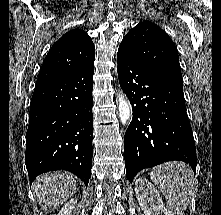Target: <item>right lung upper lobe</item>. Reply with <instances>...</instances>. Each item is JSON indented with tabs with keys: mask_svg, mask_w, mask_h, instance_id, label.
Here are the masks:
<instances>
[{
	"mask_svg": "<svg viewBox=\"0 0 221 215\" xmlns=\"http://www.w3.org/2000/svg\"><path fill=\"white\" fill-rule=\"evenodd\" d=\"M94 58L91 37L80 29L69 31L55 42L47 54L36 87L71 76L94 61Z\"/></svg>",
	"mask_w": 221,
	"mask_h": 215,
	"instance_id": "cb5924a9",
	"label": "right lung upper lobe"
}]
</instances>
